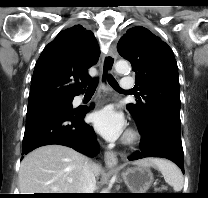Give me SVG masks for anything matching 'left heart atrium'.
<instances>
[{
    "label": "left heart atrium",
    "mask_w": 208,
    "mask_h": 198,
    "mask_svg": "<svg viewBox=\"0 0 208 198\" xmlns=\"http://www.w3.org/2000/svg\"><path fill=\"white\" fill-rule=\"evenodd\" d=\"M94 128L107 140H116L125 130V118L113 106H106L91 116Z\"/></svg>",
    "instance_id": "1"
}]
</instances>
